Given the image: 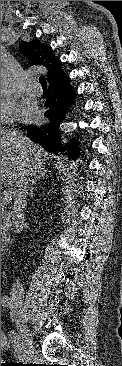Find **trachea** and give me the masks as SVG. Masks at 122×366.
<instances>
[{"label": "trachea", "mask_w": 122, "mask_h": 366, "mask_svg": "<svg viewBox=\"0 0 122 366\" xmlns=\"http://www.w3.org/2000/svg\"><path fill=\"white\" fill-rule=\"evenodd\" d=\"M39 82H40V84H41V86H42L43 88H47V81H46L45 76H40V77H39Z\"/></svg>", "instance_id": "obj_1"}]
</instances>
